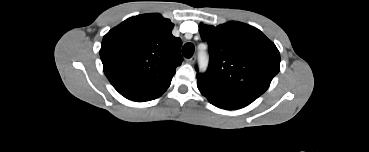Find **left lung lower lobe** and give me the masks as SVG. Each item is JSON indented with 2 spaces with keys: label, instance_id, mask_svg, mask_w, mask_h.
<instances>
[{
  "label": "left lung lower lobe",
  "instance_id": "0a47b994",
  "mask_svg": "<svg viewBox=\"0 0 369 152\" xmlns=\"http://www.w3.org/2000/svg\"><path fill=\"white\" fill-rule=\"evenodd\" d=\"M197 87L211 104L226 110L243 108L255 100V98L249 96L226 92L213 88L199 81H197Z\"/></svg>",
  "mask_w": 369,
  "mask_h": 152
}]
</instances>
